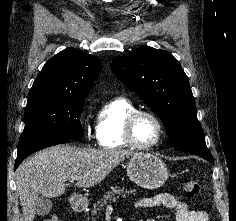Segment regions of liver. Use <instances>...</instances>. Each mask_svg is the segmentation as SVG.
<instances>
[{"instance_id": "obj_1", "label": "liver", "mask_w": 236, "mask_h": 221, "mask_svg": "<svg viewBox=\"0 0 236 221\" xmlns=\"http://www.w3.org/2000/svg\"><path fill=\"white\" fill-rule=\"evenodd\" d=\"M129 150L93 149L59 145L26 159L16 171V186L24 221H33L39 195L61 196L65 182L77 178V187L100 183L120 162L132 156Z\"/></svg>"}]
</instances>
